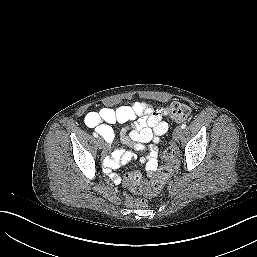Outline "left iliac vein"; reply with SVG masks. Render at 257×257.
Listing matches in <instances>:
<instances>
[{"label": "left iliac vein", "mask_w": 257, "mask_h": 257, "mask_svg": "<svg viewBox=\"0 0 257 257\" xmlns=\"http://www.w3.org/2000/svg\"><path fill=\"white\" fill-rule=\"evenodd\" d=\"M183 134V130L181 127H176L173 132V137L175 140H178Z\"/></svg>", "instance_id": "1"}]
</instances>
